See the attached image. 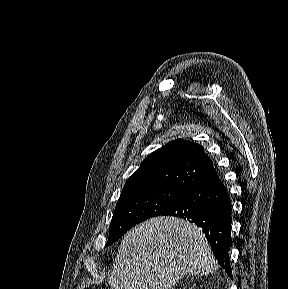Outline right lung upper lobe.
I'll list each match as a JSON object with an SVG mask.
<instances>
[{
    "mask_svg": "<svg viewBox=\"0 0 288 289\" xmlns=\"http://www.w3.org/2000/svg\"><path fill=\"white\" fill-rule=\"evenodd\" d=\"M213 168L202 146L177 139L146 157L122 192L155 187L187 190Z\"/></svg>",
    "mask_w": 288,
    "mask_h": 289,
    "instance_id": "cb5924a9",
    "label": "right lung upper lobe"
}]
</instances>
